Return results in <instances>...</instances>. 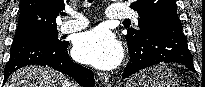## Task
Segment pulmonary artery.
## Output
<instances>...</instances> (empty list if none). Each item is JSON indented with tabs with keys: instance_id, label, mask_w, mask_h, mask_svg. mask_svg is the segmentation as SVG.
<instances>
[{
	"instance_id": "e3ab8cb5",
	"label": "pulmonary artery",
	"mask_w": 205,
	"mask_h": 87,
	"mask_svg": "<svg viewBox=\"0 0 205 87\" xmlns=\"http://www.w3.org/2000/svg\"><path fill=\"white\" fill-rule=\"evenodd\" d=\"M72 20L63 22L59 26V31L62 33H71L85 28L88 25V20L77 12H70ZM109 19H125L131 17L137 19V14L132 10L121 4H112L107 10L106 14Z\"/></svg>"
}]
</instances>
